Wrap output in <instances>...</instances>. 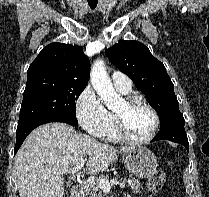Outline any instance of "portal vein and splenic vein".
Returning <instances> with one entry per match:
<instances>
[{"label":"portal vein and splenic vein","mask_w":209,"mask_h":197,"mask_svg":"<svg viewBox=\"0 0 209 197\" xmlns=\"http://www.w3.org/2000/svg\"><path fill=\"white\" fill-rule=\"evenodd\" d=\"M84 164H85L84 159L79 160L78 164L76 166H74L70 170V172L73 173V174L75 172H78L79 170L82 169ZM96 184L99 186V188H101L102 190H105V191H109L114 184L119 185L120 188L125 187V182H118L117 180H111L109 182V180L99 179V180L96 181Z\"/></svg>","instance_id":"18ae733b"}]
</instances>
